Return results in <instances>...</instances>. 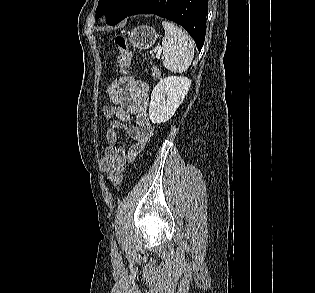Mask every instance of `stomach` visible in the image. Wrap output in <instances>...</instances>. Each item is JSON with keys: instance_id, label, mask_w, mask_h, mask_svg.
Listing matches in <instances>:
<instances>
[{"instance_id": "1", "label": "stomach", "mask_w": 315, "mask_h": 293, "mask_svg": "<svg viewBox=\"0 0 315 293\" xmlns=\"http://www.w3.org/2000/svg\"><path fill=\"white\" fill-rule=\"evenodd\" d=\"M157 38V32L150 26H138L131 32H128L129 43L140 50L151 48L155 44Z\"/></svg>"}]
</instances>
